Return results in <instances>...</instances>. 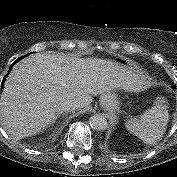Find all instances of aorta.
I'll use <instances>...</instances> for the list:
<instances>
[{
	"label": "aorta",
	"mask_w": 177,
	"mask_h": 177,
	"mask_svg": "<svg viewBox=\"0 0 177 177\" xmlns=\"http://www.w3.org/2000/svg\"><path fill=\"white\" fill-rule=\"evenodd\" d=\"M89 122L91 127L97 131H104L108 127L107 119L99 114L93 115Z\"/></svg>",
	"instance_id": "obj_1"
}]
</instances>
